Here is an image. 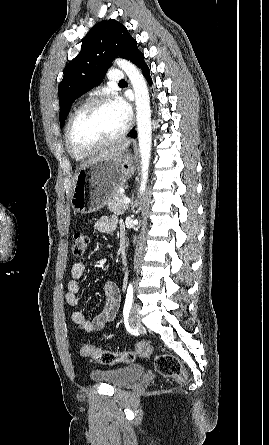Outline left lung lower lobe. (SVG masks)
<instances>
[{
  "mask_svg": "<svg viewBox=\"0 0 269 445\" xmlns=\"http://www.w3.org/2000/svg\"><path fill=\"white\" fill-rule=\"evenodd\" d=\"M135 65H137L143 72L144 76L146 77V79L148 80L149 84H152V79L150 77V69L147 66V64L144 61V55L141 53V55L139 56V58L137 59V61L135 62ZM137 134L136 131H134L130 137L131 138H136Z\"/></svg>",
  "mask_w": 269,
  "mask_h": 445,
  "instance_id": "left-lung-lower-lobe-1",
  "label": "left lung lower lobe"
}]
</instances>
